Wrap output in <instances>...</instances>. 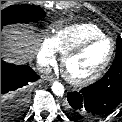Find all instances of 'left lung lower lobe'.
I'll list each match as a JSON object with an SVG mask.
<instances>
[{
  "label": "left lung lower lobe",
  "instance_id": "obj_1",
  "mask_svg": "<svg viewBox=\"0 0 122 122\" xmlns=\"http://www.w3.org/2000/svg\"><path fill=\"white\" fill-rule=\"evenodd\" d=\"M121 102L122 62H117L99 81L69 92L66 108L72 115L93 119L111 113Z\"/></svg>",
  "mask_w": 122,
  "mask_h": 122
}]
</instances>
